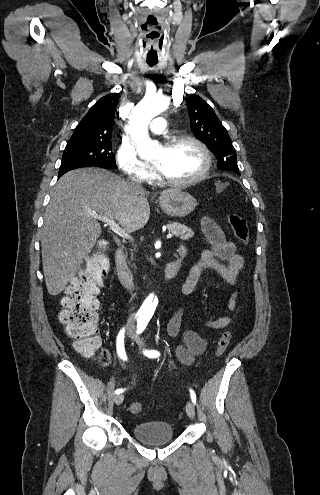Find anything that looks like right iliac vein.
Wrapping results in <instances>:
<instances>
[{"label":"right iliac vein","instance_id":"1","mask_svg":"<svg viewBox=\"0 0 320 495\" xmlns=\"http://www.w3.org/2000/svg\"><path fill=\"white\" fill-rule=\"evenodd\" d=\"M124 400V395L123 394H117L115 396V404L120 405Z\"/></svg>","mask_w":320,"mask_h":495}]
</instances>
